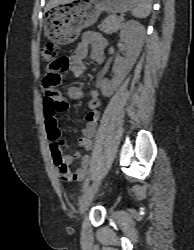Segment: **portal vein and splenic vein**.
<instances>
[{"label":"portal vein and splenic vein","mask_w":194,"mask_h":250,"mask_svg":"<svg viewBox=\"0 0 194 250\" xmlns=\"http://www.w3.org/2000/svg\"><path fill=\"white\" fill-rule=\"evenodd\" d=\"M119 18H120V20H121V21H123V20H124V18H123L122 16H120Z\"/></svg>","instance_id":"portal-vein-and-splenic-vein-1"}]
</instances>
